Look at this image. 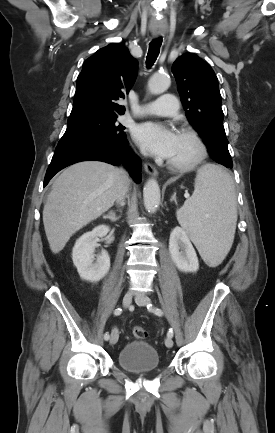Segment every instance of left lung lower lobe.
<instances>
[{
	"label": "left lung lower lobe",
	"instance_id": "obj_1",
	"mask_svg": "<svg viewBox=\"0 0 275 433\" xmlns=\"http://www.w3.org/2000/svg\"><path fill=\"white\" fill-rule=\"evenodd\" d=\"M225 167L232 168V167H233V164H232V165L225 166Z\"/></svg>",
	"mask_w": 275,
	"mask_h": 433
}]
</instances>
